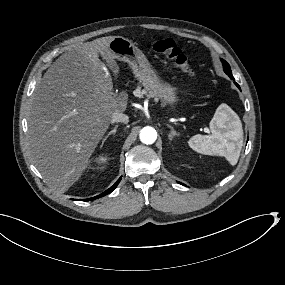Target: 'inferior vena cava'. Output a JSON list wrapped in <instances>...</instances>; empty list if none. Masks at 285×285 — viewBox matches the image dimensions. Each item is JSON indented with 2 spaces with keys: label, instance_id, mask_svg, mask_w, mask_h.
<instances>
[{
  "label": "inferior vena cava",
  "instance_id": "inferior-vena-cava-1",
  "mask_svg": "<svg viewBox=\"0 0 285 285\" xmlns=\"http://www.w3.org/2000/svg\"><path fill=\"white\" fill-rule=\"evenodd\" d=\"M117 122L128 123V116L119 112L113 113L111 118V123H117Z\"/></svg>",
  "mask_w": 285,
  "mask_h": 285
}]
</instances>
